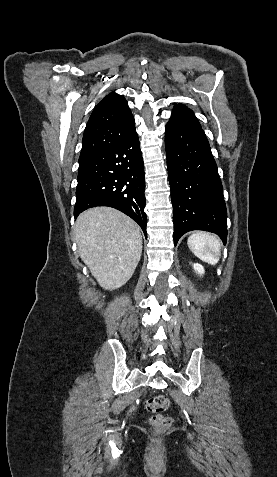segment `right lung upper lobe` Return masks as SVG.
Masks as SVG:
<instances>
[{
    "instance_id": "cb5924a9",
    "label": "right lung upper lobe",
    "mask_w": 277,
    "mask_h": 477,
    "mask_svg": "<svg viewBox=\"0 0 277 477\" xmlns=\"http://www.w3.org/2000/svg\"><path fill=\"white\" fill-rule=\"evenodd\" d=\"M134 117L122 95L115 92L103 98L86 125L79 162L117 145L134 130Z\"/></svg>"
}]
</instances>
